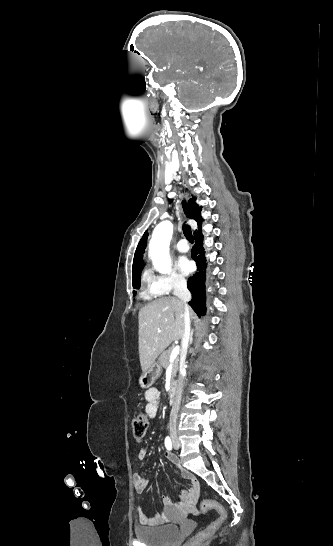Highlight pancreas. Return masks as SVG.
I'll list each match as a JSON object with an SVG mask.
<instances>
[{
	"instance_id": "1",
	"label": "pancreas",
	"mask_w": 333,
	"mask_h": 546,
	"mask_svg": "<svg viewBox=\"0 0 333 546\" xmlns=\"http://www.w3.org/2000/svg\"><path fill=\"white\" fill-rule=\"evenodd\" d=\"M173 348H169L161 353L160 357L158 358V362L160 363L161 367L167 369L170 363V355ZM179 369V358L177 357L172 365V379L174 380L176 377V373Z\"/></svg>"
}]
</instances>
